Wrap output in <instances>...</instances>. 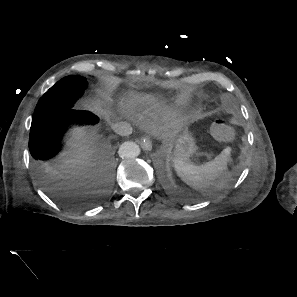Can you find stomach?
Returning a JSON list of instances; mask_svg holds the SVG:
<instances>
[{"instance_id": "obj_1", "label": "stomach", "mask_w": 297, "mask_h": 297, "mask_svg": "<svg viewBox=\"0 0 297 297\" xmlns=\"http://www.w3.org/2000/svg\"><path fill=\"white\" fill-rule=\"evenodd\" d=\"M174 146V158L181 160H189L198 149L193 135L187 130L176 138Z\"/></svg>"}]
</instances>
